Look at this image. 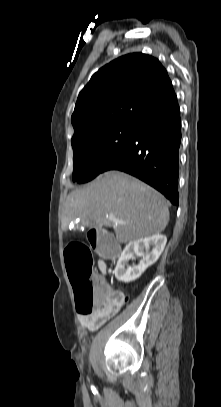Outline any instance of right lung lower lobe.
<instances>
[{
    "instance_id": "98d812e1",
    "label": "right lung lower lobe",
    "mask_w": 221,
    "mask_h": 407,
    "mask_svg": "<svg viewBox=\"0 0 221 407\" xmlns=\"http://www.w3.org/2000/svg\"><path fill=\"white\" fill-rule=\"evenodd\" d=\"M180 109L176 94L136 123L126 145L104 171L121 170L160 191L178 205Z\"/></svg>"
}]
</instances>
